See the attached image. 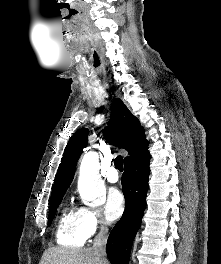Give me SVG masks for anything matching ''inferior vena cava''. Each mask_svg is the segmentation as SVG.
I'll list each match as a JSON object with an SVG mask.
<instances>
[{
  "label": "inferior vena cava",
  "mask_w": 221,
  "mask_h": 264,
  "mask_svg": "<svg viewBox=\"0 0 221 264\" xmlns=\"http://www.w3.org/2000/svg\"><path fill=\"white\" fill-rule=\"evenodd\" d=\"M107 238H108V230L104 227H101L100 232L96 235L94 239V243L92 247L95 254L102 261H104L106 255Z\"/></svg>",
  "instance_id": "602c4592"
}]
</instances>
